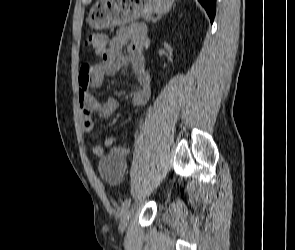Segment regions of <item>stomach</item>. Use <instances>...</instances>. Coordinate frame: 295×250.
I'll use <instances>...</instances> for the list:
<instances>
[{"label":"stomach","mask_w":295,"mask_h":250,"mask_svg":"<svg viewBox=\"0 0 295 250\" xmlns=\"http://www.w3.org/2000/svg\"><path fill=\"white\" fill-rule=\"evenodd\" d=\"M174 0H99L87 22L92 29H103L132 22L139 17L168 12Z\"/></svg>","instance_id":"0dacf381"}]
</instances>
